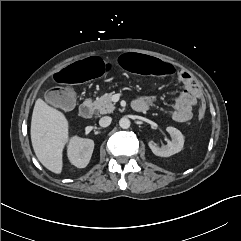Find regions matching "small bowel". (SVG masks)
<instances>
[{
    "label": "small bowel",
    "mask_w": 241,
    "mask_h": 241,
    "mask_svg": "<svg viewBox=\"0 0 241 241\" xmlns=\"http://www.w3.org/2000/svg\"><path fill=\"white\" fill-rule=\"evenodd\" d=\"M108 68L106 66V72ZM179 80L184 84L185 90L175 98L172 117L179 123H186L192 118V109L201 98L202 90L195 77L187 70L180 69ZM152 96L139 97L134 102H141L147 108L154 102Z\"/></svg>",
    "instance_id": "1"
}]
</instances>
